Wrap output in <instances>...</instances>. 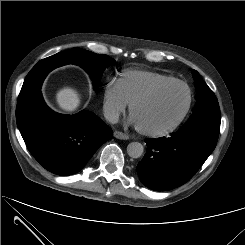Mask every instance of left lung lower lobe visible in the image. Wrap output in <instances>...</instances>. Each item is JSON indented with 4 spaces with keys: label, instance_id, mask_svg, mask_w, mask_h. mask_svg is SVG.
I'll return each mask as SVG.
<instances>
[{
    "label": "left lung lower lobe",
    "instance_id": "0a47b994",
    "mask_svg": "<svg viewBox=\"0 0 245 245\" xmlns=\"http://www.w3.org/2000/svg\"><path fill=\"white\" fill-rule=\"evenodd\" d=\"M218 136V131L191 127L169 138L148 139V150L136 168L141 182L155 191L183 185L213 152Z\"/></svg>",
    "mask_w": 245,
    "mask_h": 245
}]
</instances>
